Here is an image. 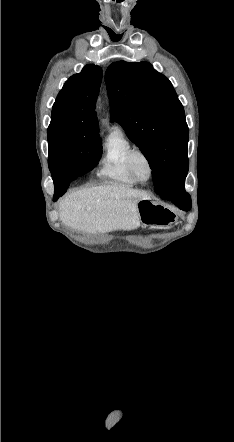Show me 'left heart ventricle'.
<instances>
[{
    "instance_id": "b2bd125f",
    "label": "left heart ventricle",
    "mask_w": 234,
    "mask_h": 442,
    "mask_svg": "<svg viewBox=\"0 0 234 442\" xmlns=\"http://www.w3.org/2000/svg\"><path fill=\"white\" fill-rule=\"evenodd\" d=\"M133 164L138 177L142 180H146L150 174L149 165L146 159L141 155H137L134 158Z\"/></svg>"
}]
</instances>
